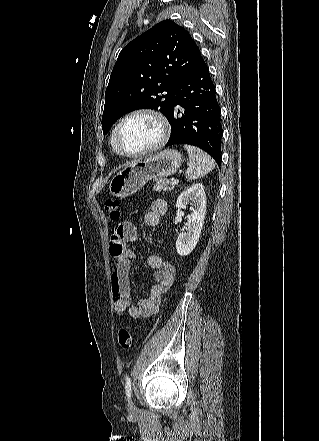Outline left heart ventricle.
I'll return each mask as SVG.
<instances>
[{
    "label": "left heart ventricle",
    "instance_id": "obj_1",
    "mask_svg": "<svg viewBox=\"0 0 319 441\" xmlns=\"http://www.w3.org/2000/svg\"><path fill=\"white\" fill-rule=\"evenodd\" d=\"M159 137L158 124L147 116H136L121 127L119 141L127 152H138L156 142Z\"/></svg>",
    "mask_w": 319,
    "mask_h": 441
}]
</instances>
